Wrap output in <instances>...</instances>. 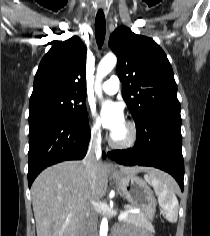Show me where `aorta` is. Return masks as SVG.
<instances>
[{
	"mask_svg": "<svg viewBox=\"0 0 210 236\" xmlns=\"http://www.w3.org/2000/svg\"><path fill=\"white\" fill-rule=\"evenodd\" d=\"M116 63H117L116 56L112 53H109L100 61L99 65L97 67L95 92L99 98L102 97L100 83H101L102 79L112 71V69L115 67ZM107 231H108V221H107V218L104 217L102 219L101 226H100L101 236H103V234H105V236H106Z\"/></svg>",
	"mask_w": 210,
	"mask_h": 236,
	"instance_id": "762f6f07",
	"label": "aorta"
}]
</instances>
